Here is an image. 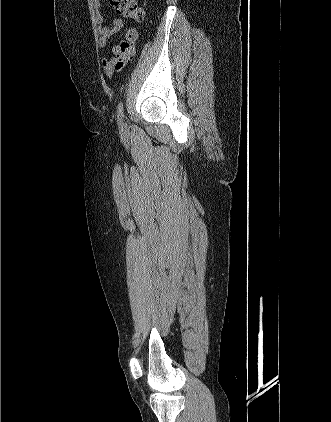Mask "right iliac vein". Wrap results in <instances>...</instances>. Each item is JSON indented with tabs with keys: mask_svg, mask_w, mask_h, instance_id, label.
Here are the masks:
<instances>
[{
	"mask_svg": "<svg viewBox=\"0 0 331 422\" xmlns=\"http://www.w3.org/2000/svg\"><path fill=\"white\" fill-rule=\"evenodd\" d=\"M123 129H126V123H123Z\"/></svg>",
	"mask_w": 331,
	"mask_h": 422,
	"instance_id": "obj_1",
	"label": "right iliac vein"
}]
</instances>
